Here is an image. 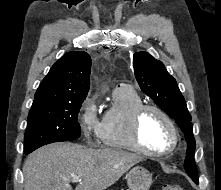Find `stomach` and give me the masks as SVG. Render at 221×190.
Wrapping results in <instances>:
<instances>
[{"label":"stomach","mask_w":221,"mask_h":190,"mask_svg":"<svg viewBox=\"0 0 221 190\" xmlns=\"http://www.w3.org/2000/svg\"><path fill=\"white\" fill-rule=\"evenodd\" d=\"M152 183V175L144 167L136 166L127 174V184L130 190H149Z\"/></svg>","instance_id":"1"}]
</instances>
